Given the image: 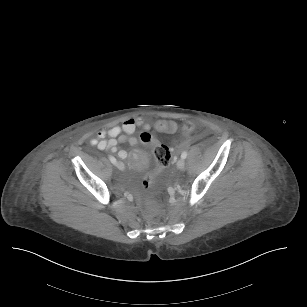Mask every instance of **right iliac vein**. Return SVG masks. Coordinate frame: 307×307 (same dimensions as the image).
I'll return each mask as SVG.
<instances>
[{
    "instance_id": "right-iliac-vein-1",
    "label": "right iliac vein",
    "mask_w": 307,
    "mask_h": 307,
    "mask_svg": "<svg viewBox=\"0 0 307 307\" xmlns=\"http://www.w3.org/2000/svg\"><path fill=\"white\" fill-rule=\"evenodd\" d=\"M116 167H117L119 170H123V169H124V164H123L121 161H119V162L116 163Z\"/></svg>"
}]
</instances>
